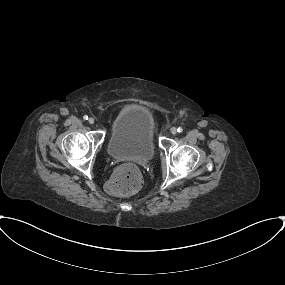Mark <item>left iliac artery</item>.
Listing matches in <instances>:
<instances>
[{
    "label": "left iliac artery",
    "instance_id": "left-iliac-artery-1",
    "mask_svg": "<svg viewBox=\"0 0 285 285\" xmlns=\"http://www.w3.org/2000/svg\"><path fill=\"white\" fill-rule=\"evenodd\" d=\"M183 131V129L181 128V127H179L178 129H177V132H179V133H181Z\"/></svg>",
    "mask_w": 285,
    "mask_h": 285
}]
</instances>
